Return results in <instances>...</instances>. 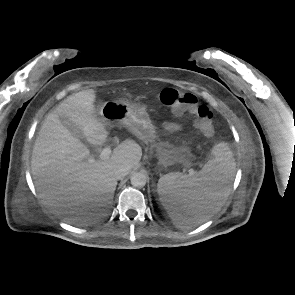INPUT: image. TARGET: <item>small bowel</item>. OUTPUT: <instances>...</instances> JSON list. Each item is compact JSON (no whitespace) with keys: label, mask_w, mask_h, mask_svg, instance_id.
I'll list each match as a JSON object with an SVG mask.
<instances>
[{"label":"small bowel","mask_w":295,"mask_h":295,"mask_svg":"<svg viewBox=\"0 0 295 295\" xmlns=\"http://www.w3.org/2000/svg\"><path fill=\"white\" fill-rule=\"evenodd\" d=\"M166 127L169 130H175V129L179 128V126L177 124H168Z\"/></svg>","instance_id":"obj_1"}]
</instances>
